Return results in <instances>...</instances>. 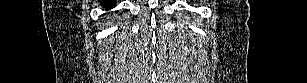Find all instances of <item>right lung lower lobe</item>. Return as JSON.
<instances>
[{
	"mask_svg": "<svg viewBox=\"0 0 307 83\" xmlns=\"http://www.w3.org/2000/svg\"><path fill=\"white\" fill-rule=\"evenodd\" d=\"M116 0H104L101 3V6H103L106 10H110L115 7Z\"/></svg>",
	"mask_w": 307,
	"mask_h": 83,
	"instance_id": "obj_1",
	"label": "right lung lower lobe"
}]
</instances>
